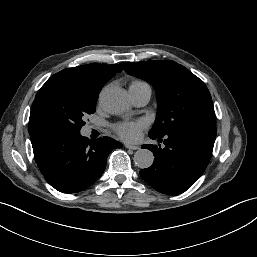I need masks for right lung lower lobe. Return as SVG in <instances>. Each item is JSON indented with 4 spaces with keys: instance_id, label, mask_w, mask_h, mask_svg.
I'll use <instances>...</instances> for the list:
<instances>
[{
    "instance_id": "98d812e1",
    "label": "right lung lower lobe",
    "mask_w": 257,
    "mask_h": 257,
    "mask_svg": "<svg viewBox=\"0 0 257 257\" xmlns=\"http://www.w3.org/2000/svg\"><path fill=\"white\" fill-rule=\"evenodd\" d=\"M30 137L41 173L63 193L88 188L104 172L109 153L122 147L112 138L92 141L80 133L34 132Z\"/></svg>"
}]
</instances>
